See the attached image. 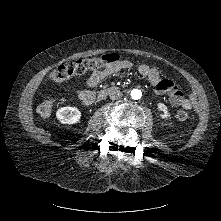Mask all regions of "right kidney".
I'll list each match as a JSON object with an SVG mask.
<instances>
[{"mask_svg": "<svg viewBox=\"0 0 221 221\" xmlns=\"http://www.w3.org/2000/svg\"><path fill=\"white\" fill-rule=\"evenodd\" d=\"M56 117L62 124H75L80 121L81 112L75 107H63L58 109Z\"/></svg>", "mask_w": 221, "mask_h": 221, "instance_id": "obj_1", "label": "right kidney"}]
</instances>
